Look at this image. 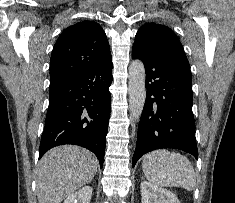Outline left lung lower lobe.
Returning <instances> with one entry per match:
<instances>
[{"label": "left lung lower lobe", "instance_id": "obj_1", "mask_svg": "<svg viewBox=\"0 0 235 203\" xmlns=\"http://www.w3.org/2000/svg\"><path fill=\"white\" fill-rule=\"evenodd\" d=\"M132 58L144 63L147 88L133 167L143 154L160 148L180 149L198 159L190 68L137 46Z\"/></svg>", "mask_w": 235, "mask_h": 203}]
</instances>
